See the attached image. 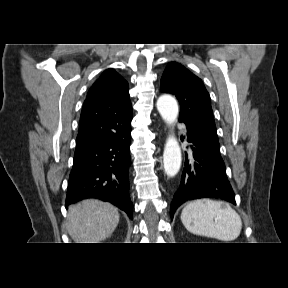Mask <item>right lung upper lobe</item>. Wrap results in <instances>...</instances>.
<instances>
[{"label":"right lung upper lobe","mask_w":288,"mask_h":288,"mask_svg":"<svg viewBox=\"0 0 288 288\" xmlns=\"http://www.w3.org/2000/svg\"><path fill=\"white\" fill-rule=\"evenodd\" d=\"M131 120L128 83L116 71L107 69L92 85L84 102L75 155L130 127Z\"/></svg>","instance_id":"right-lung-upper-lobe-1"}]
</instances>
